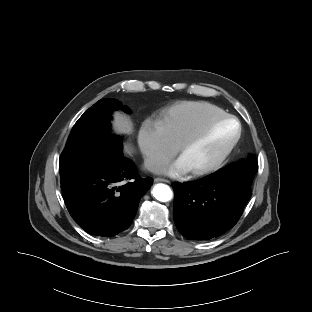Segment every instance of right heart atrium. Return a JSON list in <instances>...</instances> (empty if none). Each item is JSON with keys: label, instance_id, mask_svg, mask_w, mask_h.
Returning <instances> with one entry per match:
<instances>
[{"label": "right heart atrium", "instance_id": "right-heart-atrium-1", "mask_svg": "<svg viewBox=\"0 0 312 312\" xmlns=\"http://www.w3.org/2000/svg\"><path fill=\"white\" fill-rule=\"evenodd\" d=\"M138 144L144 157L145 166L157 171L167 163L176 152V146L158 118L145 119L139 129Z\"/></svg>", "mask_w": 312, "mask_h": 312}]
</instances>
